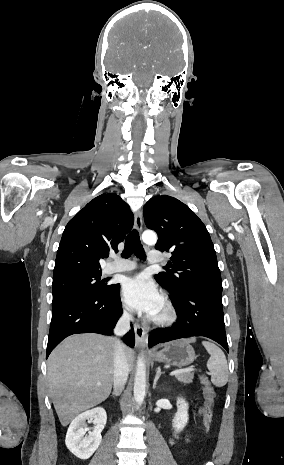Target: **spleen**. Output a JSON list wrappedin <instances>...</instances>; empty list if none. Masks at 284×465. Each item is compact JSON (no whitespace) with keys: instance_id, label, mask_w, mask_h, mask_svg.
I'll list each match as a JSON object with an SVG mask.
<instances>
[{"instance_id":"obj_1","label":"spleen","mask_w":284,"mask_h":465,"mask_svg":"<svg viewBox=\"0 0 284 465\" xmlns=\"http://www.w3.org/2000/svg\"><path fill=\"white\" fill-rule=\"evenodd\" d=\"M202 345L210 355L207 369L211 373V383L215 387H224L228 383V365L223 351L209 341H203Z\"/></svg>"}]
</instances>
